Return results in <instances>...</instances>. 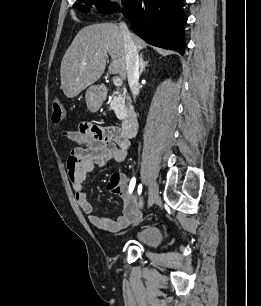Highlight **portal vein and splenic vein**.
<instances>
[{
  "instance_id": "obj_1",
  "label": "portal vein and splenic vein",
  "mask_w": 261,
  "mask_h": 306,
  "mask_svg": "<svg viewBox=\"0 0 261 306\" xmlns=\"http://www.w3.org/2000/svg\"><path fill=\"white\" fill-rule=\"evenodd\" d=\"M113 83L116 87H120V86H122L123 82H122V79L120 77H113Z\"/></svg>"
}]
</instances>
